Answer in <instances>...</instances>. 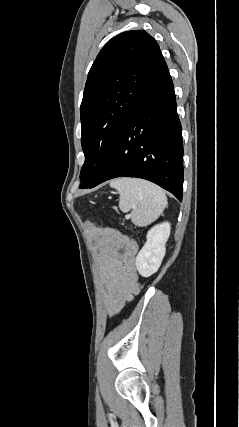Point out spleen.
<instances>
[{"label":"spleen","instance_id":"obj_1","mask_svg":"<svg viewBox=\"0 0 239 427\" xmlns=\"http://www.w3.org/2000/svg\"><path fill=\"white\" fill-rule=\"evenodd\" d=\"M119 194V208L131 211V220L138 226L154 222L167 206L164 191L157 185L138 178H118L110 182Z\"/></svg>","mask_w":239,"mask_h":427}]
</instances>
